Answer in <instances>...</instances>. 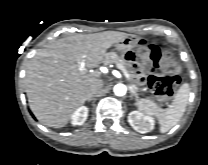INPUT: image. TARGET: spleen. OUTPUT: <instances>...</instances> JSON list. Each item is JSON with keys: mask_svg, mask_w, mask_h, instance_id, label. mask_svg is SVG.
I'll list each match as a JSON object with an SVG mask.
<instances>
[{"mask_svg": "<svg viewBox=\"0 0 208 165\" xmlns=\"http://www.w3.org/2000/svg\"><path fill=\"white\" fill-rule=\"evenodd\" d=\"M189 95V84L184 83L177 91L172 104L166 109L158 108L152 101L147 99L139 100L136 105L142 114L156 116L160 125V132L165 133L182 118L188 104Z\"/></svg>", "mask_w": 208, "mask_h": 165, "instance_id": "1", "label": "spleen"}]
</instances>
